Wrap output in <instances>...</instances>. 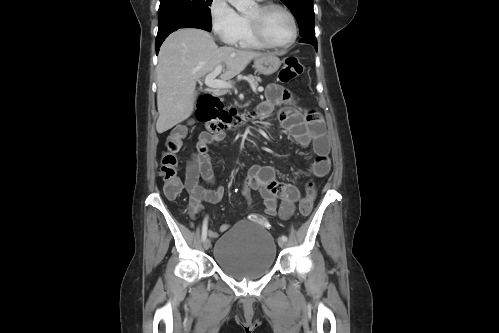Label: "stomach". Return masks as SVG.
<instances>
[{
    "label": "stomach",
    "mask_w": 499,
    "mask_h": 333,
    "mask_svg": "<svg viewBox=\"0 0 499 333\" xmlns=\"http://www.w3.org/2000/svg\"><path fill=\"white\" fill-rule=\"evenodd\" d=\"M281 65L280 59L271 53H265L264 55L255 58L254 67L259 74L271 75L278 71Z\"/></svg>",
    "instance_id": "1"
}]
</instances>
